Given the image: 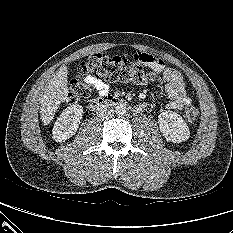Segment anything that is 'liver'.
Returning <instances> with one entry per match:
<instances>
[{
  "instance_id": "liver-1",
  "label": "liver",
  "mask_w": 233,
  "mask_h": 233,
  "mask_svg": "<svg viewBox=\"0 0 233 233\" xmlns=\"http://www.w3.org/2000/svg\"><path fill=\"white\" fill-rule=\"evenodd\" d=\"M67 73L68 69L66 66L60 67L44 92L40 109L41 119L44 125H48L52 121L60 104L67 98L69 92L67 87Z\"/></svg>"
}]
</instances>
